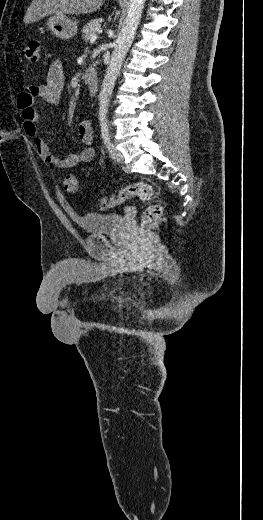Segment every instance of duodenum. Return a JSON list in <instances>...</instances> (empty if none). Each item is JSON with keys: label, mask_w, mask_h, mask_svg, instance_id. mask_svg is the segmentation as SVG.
I'll return each instance as SVG.
<instances>
[{"label": "duodenum", "mask_w": 263, "mask_h": 520, "mask_svg": "<svg viewBox=\"0 0 263 520\" xmlns=\"http://www.w3.org/2000/svg\"><path fill=\"white\" fill-rule=\"evenodd\" d=\"M87 85L90 95L94 96L98 93L99 86L96 77L92 75L87 76Z\"/></svg>", "instance_id": "410a0bca"}]
</instances>
